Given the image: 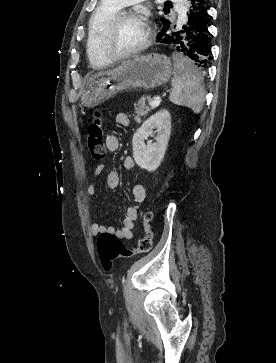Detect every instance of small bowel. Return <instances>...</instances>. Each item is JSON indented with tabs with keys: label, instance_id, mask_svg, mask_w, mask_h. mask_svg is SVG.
Segmentation results:
<instances>
[{
	"label": "small bowel",
	"instance_id": "obj_1",
	"mask_svg": "<svg viewBox=\"0 0 276 363\" xmlns=\"http://www.w3.org/2000/svg\"><path fill=\"white\" fill-rule=\"evenodd\" d=\"M115 122L120 126H128L130 120L127 114L118 113L115 117ZM106 147L109 151L114 152L120 147V139L115 134H110L106 137ZM124 168L131 170L135 167L134 160L131 157H126L123 161ZM105 170L104 165H99L95 169V175H100ZM106 184L110 189L118 188L120 184V177L117 171L111 170L106 174ZM89 197H94L96 194V187L94 183H90L86 189ZM133 197L136 202L135 205L130 206L127 209L126 215L122 220V224L118 229L113 227H106L98 222H93L90 227V231L93 235L101 233L114 234L116 237L124 240H130L133 238V230L135 222L139 218L140 208L145 200V189L142 185L137 184L133 188Z\"/></svg>",
	"mask_w": 276,
	"mask_h": 363
}]
</instances>
